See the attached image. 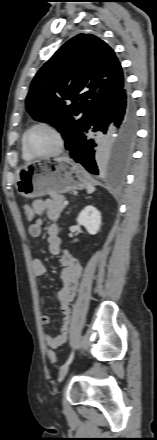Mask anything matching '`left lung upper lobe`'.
<instances>
[{
	"label": "left lung upper lobe",
	"mask_w": 157,
	"mask_h": 440,
	"mask_svg": "<svg viewBox=\"0 0 157 440\" xmlns=\"http://www.w3.org/2000/svg\"><path fill=\"white\" fill-rule=\"evenodd\" d=\"M124 87L112 48L92 34L67 41L37 72L26 108L37 121L56 124L68 149L92 111Z\"/></svg>",
	"instance_id": "1"
}]
</instances>
